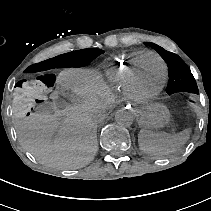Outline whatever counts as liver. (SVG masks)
<instances>
[{"instance_id": "6515ba94", "label": "liver", "mask_w": 211, "mask_h": 211, "mask_svg": "<svg viewBox=\"0 0 211 211\" xmlns=\"http://www.w3.org/2000/svg\"><path fill=\"white\" fill-rule=\"evenodd\" d=\"M57 82L70 88L76 103L55 114L43 111L15 122L20 143L42 163L59 169H76L88 164L98 149V117L114 100L111 89L83 69L59 74ZM65 118L60 120L59 117Z\"/></svg>"}]
</instances>
